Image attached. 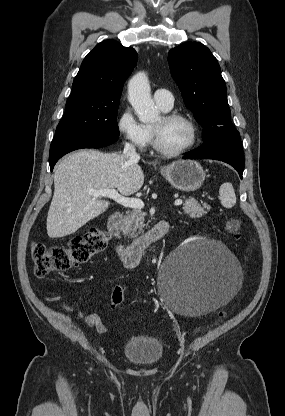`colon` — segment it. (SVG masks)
<instances>
[{"mask_svg": "<svg viewBox=\"0 0 285 416\" xmlns=\"http://www.w3.org/2000/svg\"><path fill=\"white\" fill-rule=\"evenodd\" d=\"M227 229L237 234L239 223L236 220L227 222ZM109 243V235L96 227L89 228L83 235L72 238L67 245H45L33 243L31 257L33 272L38 278H43L52 272H63L73 266L87 263L94 255L102 252ZM124 301V291L116 286L111 295V303L118 308ZM227 315L220 313V318Z\"/></svg>", "mask_w": 285, "mask_h": 416, "instance_id": "1", "label": "colon"}]
</instances>
